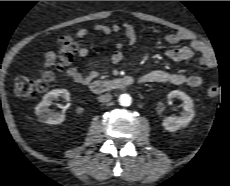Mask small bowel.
Masks as SVG:
<instances>
[{"label": "small bowel", "instance_id": "small-bowel-1", "mask_svg": "<svg viewBox=\"0 0 230 186\" xmlns=\"http://www.w3.org/2000/svg\"><path fill=\"white\" fill-rule=\"evenodd\" d=\"M95 32H100L105 35H119L123 34L129 44H134L137 39L135 28L130 24H125L122 27L117 24H99L92 28ZM89 33L88 29H80L76 32L77 37H84ZM164 40L169 44H178L182 41H187L188 44L184 47L171 48L165 51V56L171 61L179 62L198 57V64L206 68L216 67L217 60L212 50L203 42L195 39L191 34L186 32H172L165 35ZM79 55L88 59V64L91 63L89 59V50L87 48H80ZM124 57L123 45L117 43L113 52L110 55V62L112 64L119 63ZM56 62V53L49 50L44 55L45 68L54 65ZM67 66L62 72V77L72 79L73 81L87 85L92 80L97 78L105 67L92 68L87 72H81L70 62L65 63ZM144 83H172V84H186L190 87H199L203 79L199 75H187L184 73H172L165 70L155 69L144 73L140 77Z\"/></svg>", "mask_w": 230, "mask_h": 186}]
</instances>
